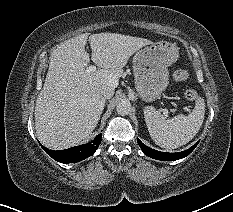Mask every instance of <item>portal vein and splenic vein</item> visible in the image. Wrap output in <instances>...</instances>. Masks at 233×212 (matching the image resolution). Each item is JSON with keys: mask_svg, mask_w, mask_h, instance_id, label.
<instances>
[{"mask_svg": "<svg viewBox=\"0 0 233 212\" xmlns=\"http://www.w3.org/2000/svg\"><path fill=\"white\" fill-rule=\"evenodd\" d=\"M87 72H95L96 71V66L91 65L86 69ZM163 114L165 115V117H168V110L166 108L163 109Z\"/></svg>", "mask_w": 233, "mask_h": 212, "instance_id": "1", "label": "portal vein and splenic vein"}]
</instances>
